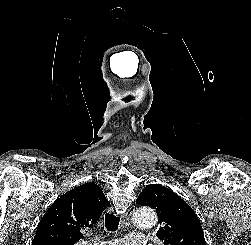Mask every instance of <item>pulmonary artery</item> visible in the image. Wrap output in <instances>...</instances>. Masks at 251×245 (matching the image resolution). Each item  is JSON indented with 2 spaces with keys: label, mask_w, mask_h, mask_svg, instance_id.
I'll return each mask as SVG.
<instances>
[{
  "label": "pulmonary artery",
  "mask_w": 251,
  "mask_h": 245,
  "mask_svg": "<svg viewBox=\"0 0 251 245\" xmlns=\"http://www.w3.org/2000/svg\"><path fill=\"white\" fill-rule=\"evenodd\" d=\"M145 237L139 233L126 235L123 239H113L110 241L95 243L94 245H143Z\"/></svg>",
  "instance_id": "1"
}]
</instances>
